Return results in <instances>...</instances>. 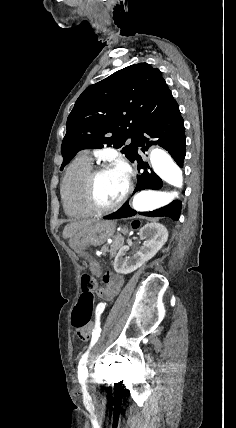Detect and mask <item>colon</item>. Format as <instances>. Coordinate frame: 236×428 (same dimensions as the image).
Wrapping results in <instances>:
<instances>
[{
  "instance_id": "1",
  "label": "colon",
  "mask_w": 236,
  "mask_h": 428,
  "mask_svg": "<svg viewBox=\"0 0 236 428\" xmlns=\"http://www.w3.org/2000/svg\"><path fill=\"white\" fill-rule=\"evenodd\" d=\"M96 286L95 279L87 274L81 277L82 294L72 314V326L76 330L84 329L91 321L94 295L92 291Z\"/></svg>"
}]
</instances>
